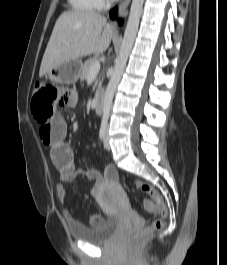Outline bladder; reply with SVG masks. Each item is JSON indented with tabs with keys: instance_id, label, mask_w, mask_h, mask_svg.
Masks as SVG:
<instances>
[{
	"instance_id": "obj_1",
	"label": "bladder",
	"mask_w": 227,
	"mask_h": 265,
	"mask_svg": "<svg viewBox=\"0 0 227 265\" xmlns=\"http://www.w3.org/2000/svg\"><path fill=\"white\" fill-rule=\"evenodd\" d=\"M113 189L118 195L123 197V192L118 186ZM119 220L115 216H111L99 225L86 227L80 224L70 222L68 224L69 233L75 240H80L92 244H99L109 240L117 231Z\"/></svg>"
}]
</instances>
